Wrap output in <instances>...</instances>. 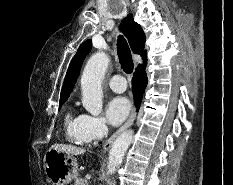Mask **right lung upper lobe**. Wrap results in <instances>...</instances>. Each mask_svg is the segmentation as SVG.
I'll return each mask as SVG.
<instances>
[{
	"instance_id": "obj_1",
	"label": "right lung upper lobe",
	"mask_w": 233,
	"mask_h": 185,
	"mask_svg": "<svg viewBox=\"0 0 233 185\" xmlns=\"http://www.w3.org/2000/svg\"><path fill=\"white\" fill-rule=\"evenodd\" d=\"M120 30L123 31V33L126 35L132 51L135 54H140L143 59L144 65H146L147 51L143 50L145 43V35L141 26L134 21L132 14H128V16L122 20L120 24ZM91 46V40L85 41L79 47L76 55L73 57L69 65L68 71L66 73V77L60 95V102L66 101L69 97L74 87V84L79 76L82 62L85 59L86 55L90 52ZM140 66L142 65H138V67Z\"/></svg>"
}]
</instances>
